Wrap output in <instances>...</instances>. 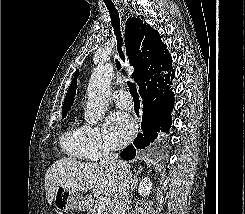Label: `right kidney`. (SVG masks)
<instances>
[{
    "instance_id": "right-kidney-1",
    "label": "right kidney",
    "mask_w": 245,
    "mask_h": 214,
    "mask_svg": "<svg viewBox=\"0 0 245 214\" xmlns=\"http://www.w3.org/2000/svg\"><path fill=\"white\" fill-rule=\"evenodd\" d=\"M152 189V182L149 178H144L138 187V192L141 196L146 197L149 195L150 191Z\"/></svg>"
}]
</instances>
